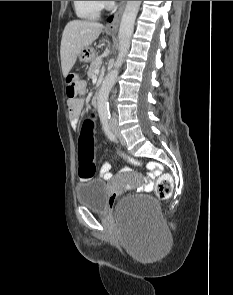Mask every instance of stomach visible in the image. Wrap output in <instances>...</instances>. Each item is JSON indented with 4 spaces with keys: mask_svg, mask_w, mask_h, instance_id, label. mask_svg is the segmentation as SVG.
I'll return each mask as SVG.
<instances>
[{
    "mask_svg": "<svg viewBox=\"0 0 233 295\" xmlns=\"http://www.w3.org/2000/svg\"><path fill=\"white\" fill-rule=\"evenodd\" d=\"M79 60L84 63H88L94 59V52L90 47H86L79 53Z\"/></svg>",
    "mask_w": 233,
    "mask_h": 295,
    "instance_id": "stomach-1",
    "label": "stomach"
}]
</instances>
